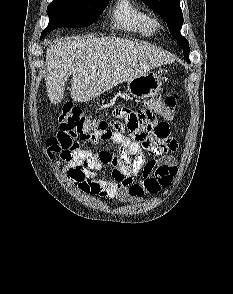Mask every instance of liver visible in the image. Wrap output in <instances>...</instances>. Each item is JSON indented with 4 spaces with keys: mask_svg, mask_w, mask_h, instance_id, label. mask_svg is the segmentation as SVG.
Here are the masks:
<instances>
[{
    "mask_svg": "<svg viewBox=\"0 0 233 294\" xmlns=\"http://www.w3.org/2000/svg\"><path fill=\"white\" fill-rule=\"evenodd\" d=\"M164 52L118 37H76L52 45L46 52V89L52 104L64 98L71 80L75 102L95 99L119 83L129 81L172 62Z\"/></svg>",
    "mask_w": 233,
    "mask_h": 294,
    "instance_id": "obj_1",
    "label": "liver"
}]
</instances>
